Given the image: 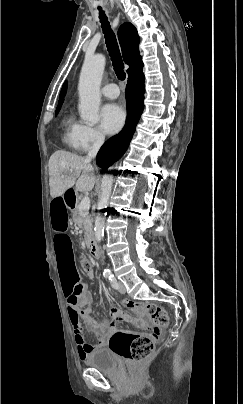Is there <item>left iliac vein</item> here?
Listing matches in <instances>:
<instances>
[{
	"instance_id": "1",
	"label": "left iliac vein",
	"mask_w": 243,
	"mask_h": 404,
	"mask_svg": "<svg viewBox=\"0 0 243 404\" xmlns=\"http://www.w3.org/2000/svg\"><path fill=\"white\" fill-rule=\"evenodd\" d=\"M118 291L120 293H126V287L122 282H118Z\"/></svg>"
}]
</instances>
